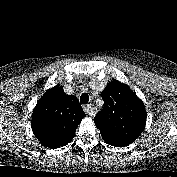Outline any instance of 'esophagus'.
Segmentation results:
<instances>
[{
  "mask_svg": "<svg viewBox=\"0 0 177 177\" xmlns=\"http://www.w3.org/2000/svg\"><path fill=\"white\" fill-rule=\"evenodd\" d=\"M83 110L86 114H88L90 116L94 115L93 109L90 105H84Z\"/></svg>",
  "mask_w": 177,
  "mask_h": 177,
  "instance_id": "34e87169",
  "label": "esophagus"
}]
</instances>
